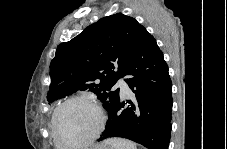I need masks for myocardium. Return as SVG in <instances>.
Returning a JSON list of instances; mask_svg holds the SVG:
<instances>
[{
    "label": "myocardium",
    "mask_w": 227,
    "mask_h": 149,
    "mask_svg": "<svg viewBox=\"0 0 227 149\" xmlns=\"http://www.w3.org/2000/svg\"><path fill=\"white\" fill-rule=\"evenodd\" d=\"M75 102L84 103V104H87V105H90L91 107H93L98 115V123H97L96 128L92 132V134L90 136H88L87 138H85L84 140L75 142V143H62L58 136L57 118H58L60 111L65 106H67L71 103H75ZM105 121H106V116H105L104 110L96 101H94L88 97H83V96H74V97L68 98L56 107V109L54 110V113L52 115L51 128H52V136H53L54 142L57 146L70 147V148L91 145L101 135V133L104 129V126H105Z\"/></svg>",
    "instance_id": "obj_1"
}]
</instances>
